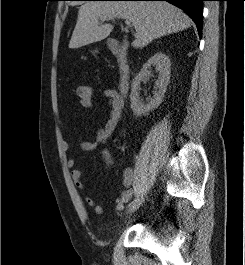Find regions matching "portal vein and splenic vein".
<instances>
[{
  "mask_svg": "<svg viewBox=\"0 0 245 265\" xmlns=\"http://www.w3.org/2000/svg\"><path fill=\"white\" fill-rule=\"evenodd\" d=\"M112 19H114V17L113 16H102L101 17V20H112ZM125 24L128 26V27H130L131 26V22L129 21V20H126L125 21Z\"/></svg>",
  "mask_w": 245,
  "mask_h": 265,
  "instance_id": "1",
  "label": "portal vein and splenic vein"
}]
</instances>
